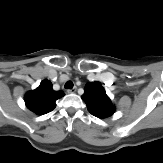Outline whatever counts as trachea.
<instances>
[{
  "instance_id": "obj_1",
  "label": "trachea",
  "mask_w": 163,
  "mask_h": 163,
  "mask_svg": "<svg viewBox=\"0 0 163 163\" xmlns=\"http://www.w3.org/2000/svg\"><path fill=\"white\" fill-rule=\"evenodd\" d=\"M73 86H74V85H73V82H72V81H68V82L65 83L64 88H65V89H72Z\"/></svg>"
}]
</instances>
